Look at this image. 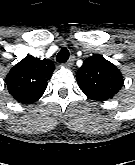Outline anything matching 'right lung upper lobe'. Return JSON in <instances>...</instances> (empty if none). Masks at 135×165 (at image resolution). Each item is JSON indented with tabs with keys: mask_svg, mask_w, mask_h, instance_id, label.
<instances>
[{
	"mask_svg": "<svg viewBox=\"0 0 135 165\" xmlns=\"http://www.w3.org/2000/svg\"><path fill=\"white\" fill-rule=\"evenodd\" d=\"M53 71V62L27 56L6 76L9 93L21 103H33L44 94Z\"/></svg>",
	"mask_w": 135,
	"mask_h": 165,
	"instance_id": "1",
	"label": "right lung upper lobe"
}]
</instances>
